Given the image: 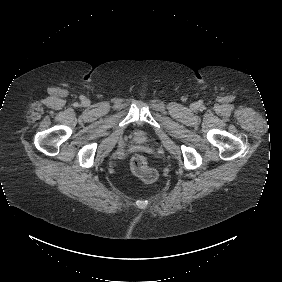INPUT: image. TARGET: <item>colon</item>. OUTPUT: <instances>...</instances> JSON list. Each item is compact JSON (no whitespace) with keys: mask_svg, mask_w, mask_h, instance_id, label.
Listing matches in <instances>:
<instances>
[{"mask_svg":"<svg viewBox=\"0 0 282 282\" xmlns=\"http://www.w3.org/2000/svg\"><path fill=\"white\" fill-rule=\"evenodd\" d=\"M130 166L135 174L145 182H151L156 179V172L149 167V158L144 153H137L130 161Z\"/></svg>","mask_w":282,"mask_h":282,"instance_id":"colon-1","label":"colon"}]
</instances>
